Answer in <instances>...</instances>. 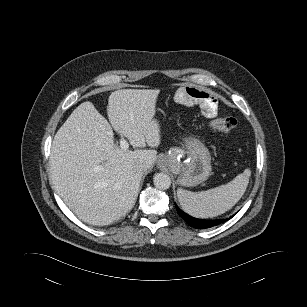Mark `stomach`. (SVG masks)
<instances>
[{
    "mask_svg": "<svg viewBox=\"0 0 307 307\" xmlns=\"http://www.w3.org/2000/svg\"><path fill=\"white\" fill-rule=\"evenodd\" d=\"M182 148L174 147L158 160L161 168H167L178 175V183L185 187H192L203 183L211 174V156L207 147L198 139L183 134ZM188 161L182 162L183 156Z\"/></svg>",
    "mask_w": 307,
    "mask_h": 307,
    "instance_id": "obj_1",
    "label": "stomach"
}]
</instances>
